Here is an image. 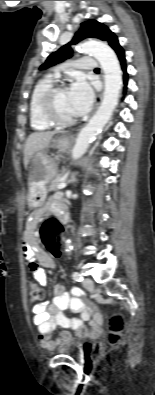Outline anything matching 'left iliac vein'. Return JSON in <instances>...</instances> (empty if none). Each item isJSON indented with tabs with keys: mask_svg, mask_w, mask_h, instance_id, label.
Wrapping results in <instances>:
<instances>
[{
	"mask_svg": "<svg viewBox=\"0 0 155 395\" xmlns=\"http://www.w3.org/2000/svg\"><path fill=\"white\" fill-rule=\"evenodd\" d=\"M83 286L89 291H92L94 289V283L92 279L88 277L83 280Z\"/></svg>",
	"mask_w": 155,
	"mask_h": 395,
	"instance_id": "4c4485c4",
	"label": "left iliac vein"
}]
</instances>
